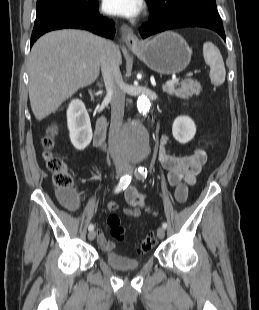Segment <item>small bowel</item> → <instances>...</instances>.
<instances>
[{
	"label": "small bowel",
	"mask_w": 259,
	"mask_h": 310,
	"mask_svg": "<svg viewBox=\"0 0 259 310\" xmlns=\"http://www.w3.org/2000/svg\"><path fill=\"white\" fill-rule=\"evenodd\" d=\"M166 145L167 137L164 136L159 148V161L168 171L167 183L175 189L176 200L183 203L188 197V188L196 183V177L206 162V153L202 149H196L191 155L176 156L167 152ZM124 197L128 205L124 208L126 216L137 218L142 212L149 211L144 196L134 186L130 185L124 189ZM119 207L115 201L107 204L109 211H116ZM96 234L97 242L102 250L107 252L114 250V241L108 240L100 229L96 231Z\"/></svg>",
	"instance_id": "1"
}]
</instances>
